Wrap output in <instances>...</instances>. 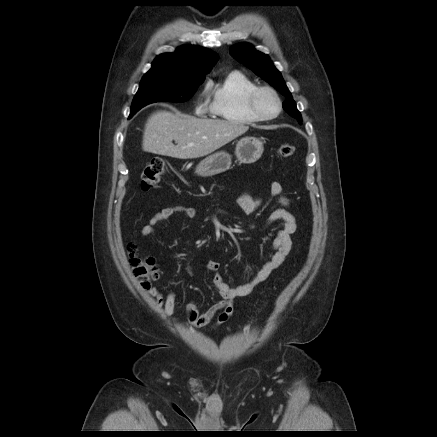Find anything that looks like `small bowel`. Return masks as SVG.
Listing matches in <instances>:
<instances>
[{"label": "small bowel", "mask_w": 437, "mask_h": 437, "mask_svg": "<svg viewBox=\"0 0 437 437\" xmlns=\"http://www.w3.org/2000/svg\"><path fill=\"white\" fill-rule=\"evenodd\" d=\"M269 195L278 198L280 207L274 210L267 225L280 221L281 229L277 232L273 242V254L267 260L260 270L245 284L237 287H230L223 281L219 270L220 264L215 261H208L206 267L212 273V283L217 290L221 300L210 306L206 311L200 312L194 303L186 305L185 312L187 316V324L194 327H203L216 319V325H221L229 320L233 313V303L237 298L244 297L250 294L259 284L264 282L270 274L277 269L286 259L292 248L291 235L296 231L297 225L295 217L289 211V199L282 196V186L278 182H272L268 188ZM261 198H254L248 193L241 194L237 199V206L246 215L253 214L261 205ZM179 213L185 218L193 219L196 217L195 209L183 205H175L165 207L156 212L142 228L141 235L143 237L150 236L156 232L157 226L169 219L174 214ZM152 296L156 302L164 310L168 317H173L176 307V295L173 292L166 296L161 294L156 289L151 290Z\"/></svg>", "instance_id": "small-bowel-1"}]
</instances>
